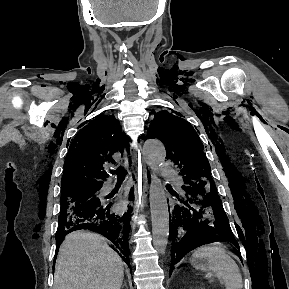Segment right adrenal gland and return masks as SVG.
Segmentation results:
<instances>
[{"instance_id": "1", "label": "right adrenal gland", "mask_w": 289, "mask_h": 289, "mask_svg": "<svg viewBox=\"0 0 289 289\" xmlns=\"http://www.w3.org/2000/svg\"><path fill=\"white\" fill-rule=\"evenodd\" d=\"M124 286H127V285H126V282L123 283L122 287H124Z\"/></svg>"}]
</instances>
